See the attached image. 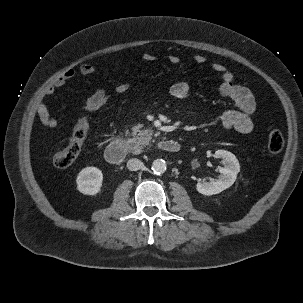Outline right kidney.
Wrapping results in <instances>:
<instances>
[{
  "label": "right kidney",
  "mask_w": 303,
  "mask_h": 303,
  "mask_svg": "<svg viewBox=\"0 0 303 303\" xmlns=\"http://www.w3.org/2000/svg\"><path fill=\"white\" fill-rule=\"evenodd\" d=\"M103 174L96 167H86L82 169L77 178V189L84 195H96L102 187Z\"/></svg>",
  "instance_id": "1"
}]
</instances>
